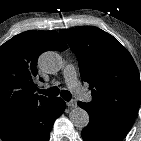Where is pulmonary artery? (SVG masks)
Returning a JSON list of instances; mask_svg holds the SVG:
<instances>
[{
  "label": "pulmonary artery",
  "instance_id": "pulmonary-artery-1",
  "mask_svg": "<svg viewBox=\"0 0 141 141\" xmlns=\"http://www.w3.org/2000/svg\"><path fill=\"white\" fill-rule=\"evenodd\" d=\"M63 75L68 87L80 98L87 100L89 99L88 93L80 85L76 70L73 65L68 64L63 71Z\"/></svg>",
  "mask_w": 141,
  "mask_h": 141
}]
</instances>
